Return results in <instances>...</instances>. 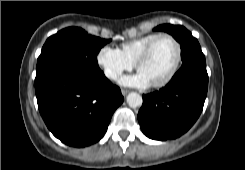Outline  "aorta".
I'll return each instance as SVG.
<instances>
[{"label":"aorta","instance_id":"762f6f07","mask_svg":"<svg viewBox=\"0 0 245 170\" xmlns=\"http://www.w3.org/2000/svg\"><path fill=\"white\" fill-rule=\"evenodd\" d=\"M142 97L138 93L131 92L127 96V103L131 108L140 107L142 105Z\"/></svg>","mask_w":245,"mask_h":170}]
</instances>
